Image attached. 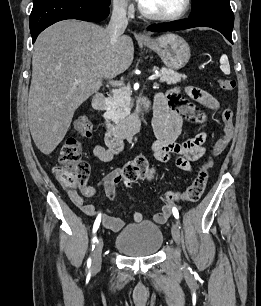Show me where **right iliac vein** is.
<instances>
[{"mask_svg": "<svg viewBox=\"0 0 261 306\" xmlns=\"http://www.w3.org/2000/svg\"><path fill=\"white\" fill-rule=\"evenodd\" d=\"M102 249H103V239L101 237H98L96 244H95L94 254H93V262H92L93 272H97L101 268Z\"/></svg>", "mask_w": 261, "mask_h": 306, "instance_id": "63e3f726", "label": "right iliac vein"}]
</instances>
